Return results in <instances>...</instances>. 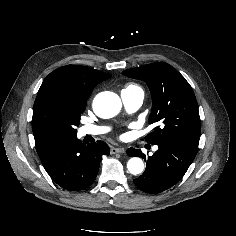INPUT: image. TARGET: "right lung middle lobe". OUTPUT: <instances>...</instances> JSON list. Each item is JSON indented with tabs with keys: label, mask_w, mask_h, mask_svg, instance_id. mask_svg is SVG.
<instances>
[{
	"label": "right lung middle lobe",
	"mask_w": 236,
	"mask_h": 236,
	"mask_svg": "<svg viewBox=\"0 0 236 236\" xmlns=\"http://www.w3.org/2000/svg\"><path fill=\"white\" fill-rule=\"evenodd\" d=\"M86 103L71 102L58 92L38 94L33 106L32 130L35 140L74 136Z\"/></svg>",
	"instance_id": "1"
}]
</instances>
